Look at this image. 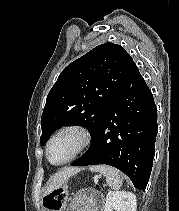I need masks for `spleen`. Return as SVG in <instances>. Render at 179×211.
Returning <instances> with one entry per match:
<instances>
[{"label": "spleen", "instance_id": "3e777b00", "mask_svg": "<svg viewBox=\"0 0 179 211\" xmlns=\"http://www.w3.org/2000/svg\"><path fill=\"white\" fill-rule=\"evenodd\" d=\"M92 172H98L106 177V182L113 190H119L122 185V176L120 172L111 166L99 165L91 166L89 168Z\"/></svg>", "mask_w": 179, "mask_h": 211}]
</instances>
